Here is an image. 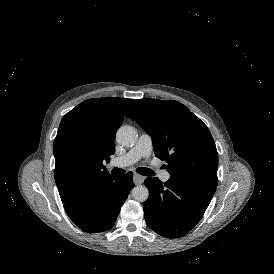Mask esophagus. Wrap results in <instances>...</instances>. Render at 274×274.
<instances>
[{
	"instance_id": "obj_1",
	"label": "esophagus",
	"mask_w": 274,
	"mask_h": 274,
	"mask_svg": "<svg viewBox=\"0 0 274 274\" xmlns=\"http://www.w3.org/2000/svg\"><path fill=\"white\" fill-rule=\"evenodd\" d=\"M144 181V177L137 174V173H134L133 175V182L135 183V185H140L142 184Z\"/></svg>"
}]
</instances>
